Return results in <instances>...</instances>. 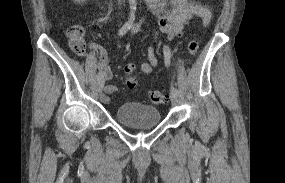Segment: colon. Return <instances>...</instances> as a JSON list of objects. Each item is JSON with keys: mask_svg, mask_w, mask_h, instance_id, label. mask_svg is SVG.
<instances>
[{"mask_svg": "<svg viewBox=\"0 0 285 183\" xmlns=\"http://www.w3.org/2000/svg\"><path fill=\"white\" fill-rule=\"evenodd\" d=\"M68 37L71 50L77 55H83L86 52V42L84 40V29L80 25H73L68 29ZM199 49V43L196 40H190L187 45V52L194 56ZM135 66L131 63L125 66L127 74L126 85L129 89H134L137 85V80L131 76ZM149 100L154 104H164L168 101V95L163 90H154L149 94Z\"/></svg>", "mask_w": 285, "mask_h": 183, "instance_id": "obj_1", "label": "colon"}]
</instances>
